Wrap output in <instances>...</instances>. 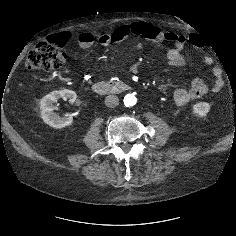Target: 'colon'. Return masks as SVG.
Masks as SVG:
<instances>
[{"instance_id": "obj_1", "label": "colon", "mask_w": 236, "mask_h": 236, "mask_svg": "<svg viewBox=\"0 0 236 236\" xmlns=\"http://www.w3.org/2000/svg\"><path fill=\"white\" fill-rule=\"evenodd\" d=\"M64 45L65 42L58 36L45 39L29 52L25 60L26 67L46 72L58 69L67 59Z\"/></svg>"}]
</instances>
